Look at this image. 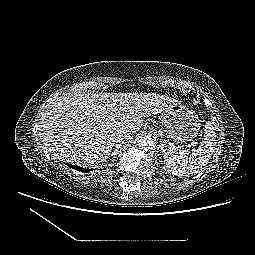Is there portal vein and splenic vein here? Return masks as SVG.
<instances>
[{"label": "portal vein and splenic vein", "mask_w": 255, "mask_h": 255, "mask_svg": "<svg viewBox=\"0 0 255 255\" xmlns=\"http://www.w3.org/2000/svg\"><path fill=\"white\" fill-rule=\"evenodd\" d=\"M110 108H113L112 104L110 105ZM195 145H196L195 143H190V144H188V147H195Z\"/></svg>", "instance_id": "1"}]
</instances>
